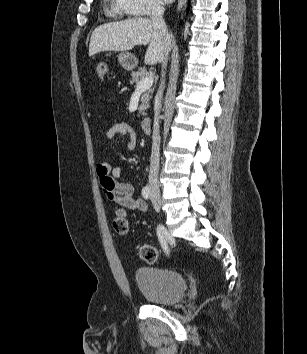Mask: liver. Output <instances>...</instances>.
<instances>
[{
  "instance_id": "obj_1",
  "label": "liver",
  "mask_w": 307,
  "mask_h": 354,
  "mask_svg": "<svg viewBox=\"0 0 307 354\" xmlns=\"http://www.w3.org/2000/svg\"><path fill=\"white\" fill-rule=\"evenodd\" d=\"M171 40V38H170ZM172 41V40H171ZM158 29L148 18H133L97 27L90 39L89 57L104 51H128L148 44L144 62L149 65L163 62L169 53Z\"/></svg>"
}]
</instances>
